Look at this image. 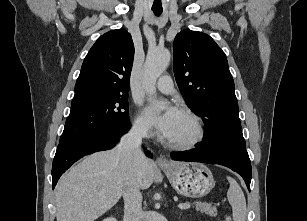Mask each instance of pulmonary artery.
<instances>
[{
	"mask_svg": "<svg viewBox=\"0 0 307 221\" xmlns=\"http://www.w3.org/2000/svg\"><path fill=\"white\" fill-rule=\"evenodd\" d=\"M156 87L160 92L165 93V94H170L174 91V85H173L172 79L168 75L162 76L158 80Z\"/></svg>",
	"mask_w": 307,
	"mask_h": 221,
	"instance_id": "e3ab8cb5",
	"label": "pulmonary artery"
}]
</instances>
